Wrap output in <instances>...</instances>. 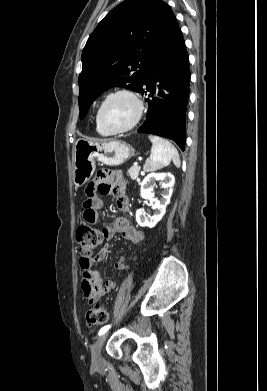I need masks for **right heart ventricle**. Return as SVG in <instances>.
<instances>
[{
    "label": "right heart ventricle",
    "mask_w": 267,
    "mask_h": 391,
    "mask_svg": "<svg viewBox=\"0 0 267 391\" xmlns=\"http://www.w3.org/2000/svg\"><path fill=\"white\" fill-rule=\"evenodd\" d=\"M95 129L97 131L98 134L102 135V136H109L110 133H108L107 131H105L98 123V120H97V117H95Z\"/></svg>",
    "instance_id": "obj_1"
}]
</instances>
